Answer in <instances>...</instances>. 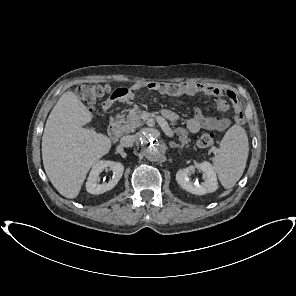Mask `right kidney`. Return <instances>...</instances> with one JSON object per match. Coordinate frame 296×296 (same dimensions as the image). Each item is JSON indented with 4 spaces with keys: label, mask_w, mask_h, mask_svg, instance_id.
Wrapping results in <instances>:
<instances>
[{
    "label": "right kidney",
    "mask_w": 296,
    "mask_h": 296,
    "mask_svg": "<svg viewBox=\"0 0 296 296\" xmlns=\"http://www.w3.org/2000/svg\"><path fill=\"white\" fill-rule=\"evenodd\" d=\"M106 168H109L113 172L112 179H110L108 183H100L99 175ZM123 171L124 166L120 162H114L109 160H101L96 162L93 165L89 173L88 180L86 182L87 192H89L90 194L98 195L111 190L121 179Z\"/></svg>",
    "instance_id": "ca27d5eb"
}]
</instances>
